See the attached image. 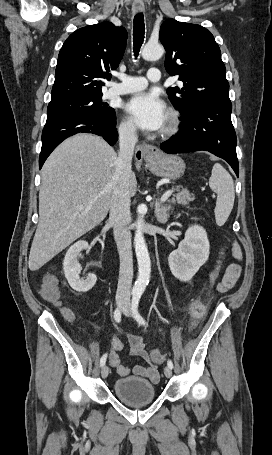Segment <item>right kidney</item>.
I'll list each match as a JSON object with an SVG mask.
<instances>
[{
    "mask_svg": "<svg viewBox=\"0 0 272 455\" xmlns=\"http://www.w3.org/2000/svg\"><path fill=\"white\" fill-rule=\"evenodd\" d=\"M84 249H89V245L86 241L80 240L73 244L67 251L63 268L65 272V277L75 291L78 292H87L95 285L97 277L95 274H88L86 279H81L80 274V264L78 257L81 255V251Z\"/></svg>",
    "mask_w": 272,
    "mask_h": 455,
    "instance_id": "obj_1",
    "label": "right kidney"
}]
</instances>
